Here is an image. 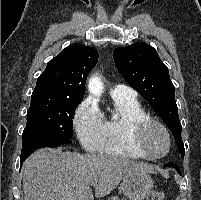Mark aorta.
<instances>
[{
	"label": "aorta",
	"instance_id": "aorta-1",
	"mask_svg": "<svg viewBox=\"0 0 201 200\" xmlns=\"http://www.w3.org/2000/svg\"><path fill=\"white\" fill-rule=\"evenodd\" d=\"M88 88H89L90 94L94 96L101 95L103 91V84L98 75H94L90 78Z\"/></svg>",
	"mask_w": 201,
	"mask_h": 200
}]
</instances>
